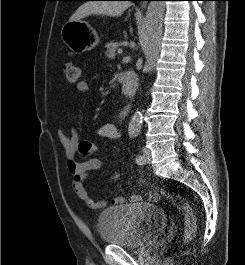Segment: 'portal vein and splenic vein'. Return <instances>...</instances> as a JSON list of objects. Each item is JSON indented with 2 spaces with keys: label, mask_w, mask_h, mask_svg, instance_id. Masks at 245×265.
<instances>
[{
  "label": "portal vein and splenic vein",
  "mask_w": 245,
  "mask_h": 265,
  "mask_svg": "<svg viewBox=\"0 0 245 265\" xmlns=\"http://www.w3.org/2000/svg\"><path fill=\"white\" fill-rule=\"evenodd\" d=\"M117 53H118L119 55H121V54L123 53V50H122V49H118Z\"/></svg>",
  "instance_id": "18ae733b"
}]
</instances>
